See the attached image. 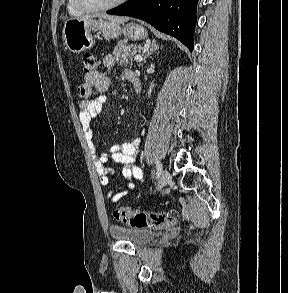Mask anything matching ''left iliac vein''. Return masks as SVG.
Masks as SVG:
<instances>
[{"label":"left iliac vein","instance_id":"obj_1","mask_svg":"<svg viewBox=\"0 0 288 293\" xmlns=\"http://www.w3.org/2000/svg\"><path fill=\"white\" fill-rule=\"evenodd\" d=\"M170 180H171V177L169 172L166 169L162 170L157 189L159 190L163 188L164 186H166L170 182Z\"/></svg>","mask_w":288,"mask_h":293}]
</instances>
